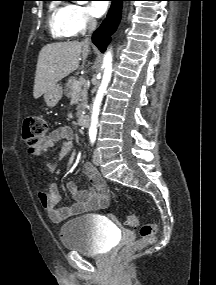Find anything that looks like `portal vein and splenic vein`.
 <instances>
[{
	"mask_svg": "<svg viewBox=\"0 0 216 285\" xmlns=\"http://www.w3.org/2000/svg\"><path fill=\"white\" fill-rule=\"evenodd\" d=\"M81 84H82V80L75 81L74 82V87H73L74 91H78V89L80 88Z\"/></svg>",
	"mask_w": 216,
	"mask_h": 285,
	"instance_id": "1",
	"label": "portal vein and splenic vein"
}]
</instances>
